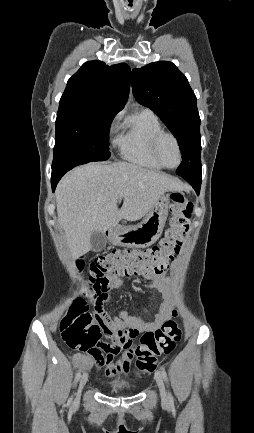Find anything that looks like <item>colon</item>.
I'll return each mask as SVG.
<instances>
[{"mask_svg": "<svg viewBox=\"0 0 254 433\" xmlns=\"http://www.w3.org/2000/svg\"><path fill=\"white\" fill-rule=\"evenodd\" d=\"M172 216L159 245L146 250H113L96 257L89 265V283L100 303V292L113 278L137 274L162 272L180 251L189 228L193 203L182 193L171 194ZM92 291V292H93ZM97 312H90L87 303L78 299L60 322L59 330L64 343L71 349L93 355L96 352L98 326ZM181 339V329L176 320L167 319L153 331L144 333L140 344L134 347L136 372L152 373L158 358L170 354Z\"/></svg>", "mask_w": 254, "mask_h": 433, "instance_id": "1", "label": "colon"}]
</instances>
